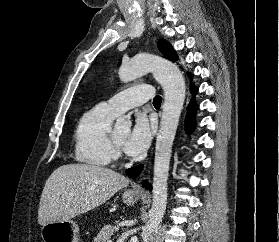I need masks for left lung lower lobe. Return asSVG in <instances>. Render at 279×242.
I'll list each match as a JSON object with an SVG mask.
<instances>
[{
  "label": "left lung lower lobe",
  "mask_w": 279,
  "mask_h": 242,
  "mask_svg": "<svg viewBox=\"0 0 279 242\" xmlns=\"http://www.w3.org/2000/svg\"><path fill=\"white\" fill-rule=\"evenodd\" d=\"M189 77H192L191 74H189ZM191 91L193 92V94L195 95L196 92H197V88L192 85L191 86ZM189 109L191 110L190 114L187 116V119L185 121V127H186V131L187 132H191L193 129H194V126H195V122H194V111L197 109V105L196 103L194 102V99L192 98L191 102H190V105H189ZM143 169V165H138V166H135V167H132L130 169H127L126 170V174L131 177V178H135L137 177L141 171ZM143 186L145 188H147L148 190H151L152 187L149 183L147 182H144L143 183Z\"/></svg>",
  "instance_id": "0a47b994"
}]
</instances>
